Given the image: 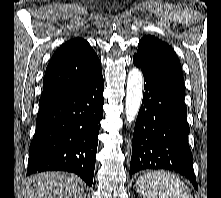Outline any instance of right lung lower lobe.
<instances>
[{
    "instance_id": "right-lung-lower-lobe-1",
    "label": "right lung lower lobe",
    "mask_w": 221,
    "mask_h": 198,
    "mask_svg": "<svg viewBox=\"0 0 221 198\" xmlns=\"http://www.w3.org/2000/svg\"><path fill=\"white\" fill-rule=\"evenodd\" d=\"M104 80L100 72L77 89L40 106L27 175L69 171L93 183Z\"/></svg>"
}]
</instances>
